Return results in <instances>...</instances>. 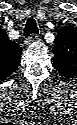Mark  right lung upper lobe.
<instances>
[{
	"mask_svg": "<svg viewBox=\"0 0 77 125\" xmlns=\"http://www.w3.org/2000/svg\"><path fill=\"white\" fill-rule=\"evenodd\" d=\"M22 48L0 30V78L6 79L20 64Z\"/></svg>",
	"mask_w": 77,
	"mask_h": 125,
	"instance_id": "cb5924a9",
	"label": "right lung upper lobe"
}]
</instances>
